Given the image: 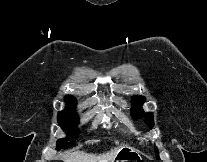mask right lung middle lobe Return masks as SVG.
Wrapping results in <instances>:
<instances>
[{
    "label": "right lung middle lobe",
    "mask_w": 207,
    "mask_h": 162,
    "mask_svg": "<svg viewBox=\"0 0 207 162\" xmlns=\"http://www.w3.org/2000/svg\"><path fill=\"white\" fill-rule=\"evenodd\" d=\"M66 102L68 104V107L60 111L58 113V123L62 127L63 130H65L68 133V136L66 139H59L58 140V147H70L72 146L74 142V138L78 135L79 131L76 130V126L79 123L78 115L74 112L75 108V99H66ZM70 140V143H67L66 141Z\"/></svg>",
    "instance_id": "right-lung-middle-lobe-1"
}]
</instances>
